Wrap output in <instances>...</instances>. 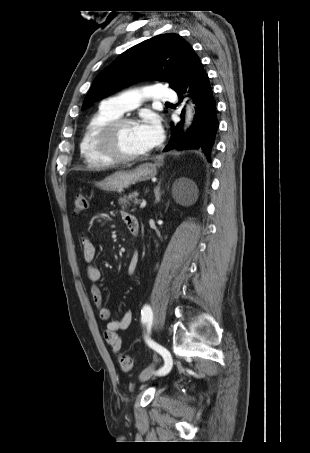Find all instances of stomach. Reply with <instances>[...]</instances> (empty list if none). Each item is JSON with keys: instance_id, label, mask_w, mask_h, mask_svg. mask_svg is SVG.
Returning a JSON list of instances; mask_svg holds the SVG:
<instances>
[{"instance_id": "0dacf381", "label": "stomach", "mask_w": 310, "mask_h": 453, "mask_svg": "<svg viewBox=\"0 0 310 453\" xmlns=\"http://www.w3.org/2000/svg\"><path fill=\"white\" fill-rule=\"evenodd\" d=\"M161 162L144 163L133 170L119 171L98 183V186L106 191L121 192L136 182L146 181L157 174V168Z\"/></svg>"}]
</instances>
